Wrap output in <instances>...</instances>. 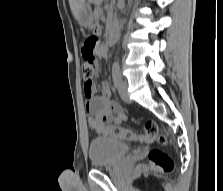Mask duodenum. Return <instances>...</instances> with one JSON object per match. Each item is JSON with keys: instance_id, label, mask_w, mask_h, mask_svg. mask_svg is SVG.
Instances as JSON below:
<instances>
[{"instance_id": "duodenum-1", "label": "duodenum", "mask_w": 223, "mask_h": 191, "mask_svg": "<svg viewBox=\"0 0 223 191\" xmlns=\"http://www.w3.org/2000/svg\"><path fill=\"white\" fill-rule=\"evenodd\" d=\"M119 34V27L117 24L113 23L109 29V36H108V40H107V45L110 46L112 45Z\"/></svg>"}]
</instances>
